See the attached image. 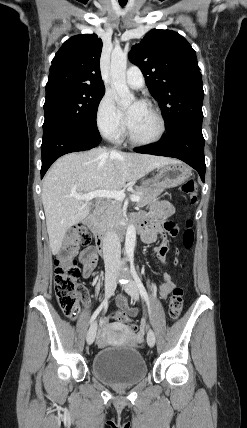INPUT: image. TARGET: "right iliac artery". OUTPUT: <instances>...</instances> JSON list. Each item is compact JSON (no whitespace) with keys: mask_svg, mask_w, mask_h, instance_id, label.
I'll list each match as a JSON object with an SVG mask.
<instances>
[{"mask_svg":"<svg viewBox=\"0 0 247 428\" xmlns=\"http://www.w3.org/2000/svg\"><path fill=\"white\" fill-rule=\"evenodd\" d=\"M108 301L107 298L101 303V305L96 309V311L93 313L91 319H90V323H92L95 318L97 317V315L100 313V311L103 309V307H105L107 305Z\"/></svg>","mask_w":247,"mask_h":428,"instance_id":"1","label":"right iliac artery"}]
</instances>
